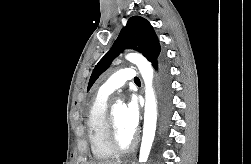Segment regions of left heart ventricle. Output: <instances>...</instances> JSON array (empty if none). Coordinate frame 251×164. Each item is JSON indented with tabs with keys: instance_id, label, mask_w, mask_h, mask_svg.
I'll return each instance as SVG.
<instances>
[{
	"instance_id": "b2bd125f",
	"label": "left heart ventricle",
	"mask_w": 251,
	"mask_h": 164,
	"mask_svg": "<svg viewBox=\"0 0 251 164\" xmlns=\"http://www.w3.org/2000/svg\"><path fill=\"white\" fill-rule=\"evenodd\" d=\"M113 114L117 125L119 140L126 145L130 142L133 133L125 125L124 121V106L118 105L113 108Z\"/></svg>"
}]
</instances>
